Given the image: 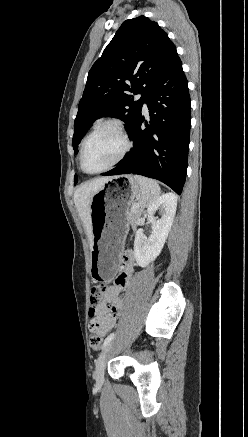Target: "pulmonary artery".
I'll use <instances>...</instances> for the list:
<instances>
[{
  "instance_id": "e3ab8cb5",
  "label": "pulmonary artery",
  "mask_w": 248,
  "mask_h": 437,
  "mask_svg": "<svg viewBox=\"0 0 248 437\" xmlns=\"http://www.w3.org/2000/svg\"><path fill=\"white\" fill-rule=\"evenodd\" d=\"M144 108H145V109L147 108V105H146V104H144Z\"/></svg>"
}]
</instances>
